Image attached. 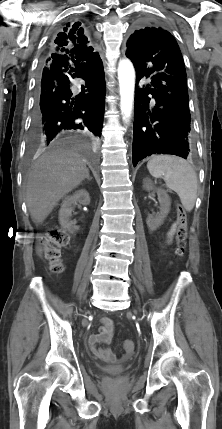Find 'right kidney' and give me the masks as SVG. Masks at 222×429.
<instances>
[{"mask_svg": "<svg viewBox=\"0 0 222 429\" xmlns=\"http://www.w3.org/2000/svg\"><path fill=\"white\" fill-rule=\"evenodd\" d=\"M77 203L82 205H88L90 203V196L86 190H78L73 195L67 196L61 205L59 211V222L63 228L70 229L72 227V222L70 218L74 210V206Z\"/></svg>", "mask_w": 222, "mask_h": 429, "instance_id": "1", "label": "right kidney"}]
</instances>
